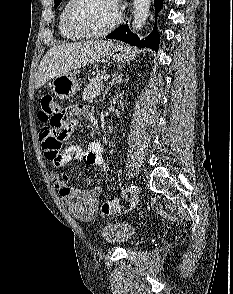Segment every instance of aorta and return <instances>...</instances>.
Masks as SVG:
<instances>
[{
  "label": "aorta",
  "mask_w": 233,
  "mask_h": 294,
  "mask_svg": "<svg viewBox=\"0 0 233 294\" xmlns=\"http://www.w3.org/2000/svg\"><path fill=\"white\" fill-rule=\"evenodd\" d=\"M151 0H134L133 1V28L141 30L149 16Z\"/></svg>",
  "instance_id": "762f6f07"
}]
</instances>
